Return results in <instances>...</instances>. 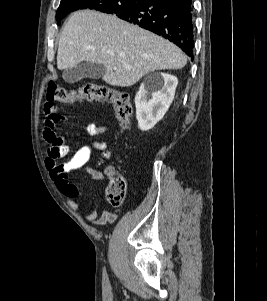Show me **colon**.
Here are the masks:
<instances>
[{"instance_id":"colon-1","label":"colon","mask_w":267,"mask_h":301,"mask_svg":"<svg viewBox=\"0 0 267 301\" xmlns=\"http://www.w3.org/2000/svg\"><path fill=\"white\" fill-rule=\"evenodd\" d=\"M47 100L63 103L82 101H103L111 104L120 123L121 132L130 124L132 108L126 93L105 85L86 84L75 90L67 91L55 82H50L47 87ZM108 155V154H107ZM108 185L106 197L113 206H120L126 195L124 178L113 170L107 172Z\"/></svg>"}]
</instances>
